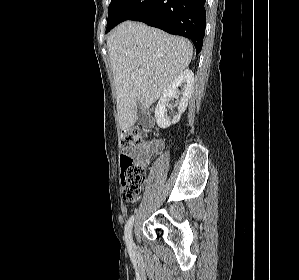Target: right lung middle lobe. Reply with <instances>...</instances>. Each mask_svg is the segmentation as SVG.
Segmentation results:
<instances>
[{"label": "right lung middle lobe", "mask_w": 299, "mask_h": 280, "mask_svg": "<svg viewBox=\"0 0 299 280\" xmlns=\"http://www.w3.org/2000/svg\"><path fill=\"white\" fill-rule=\"evenodd\" d=\"M129 0H111L108 8V20L106 33L114 27V22L122 8L126 5Z\"/></svg>", "instance_id": "dd1d6c3e"}]
</instances>
